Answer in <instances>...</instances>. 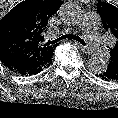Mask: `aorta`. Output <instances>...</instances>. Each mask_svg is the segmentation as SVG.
<instances>
[{
    "instance_id": "aorta-1",
    "label": "aorta",
    "mask_w": 118,
    "mask_h": 118,
    "mask_svg": "<svg viewBox=\"0 0 118 118\" xmlns=\"http://www.w3.org/2000/svg\"><path fill=\"white\" fill-rule=\"evenodd\" d=\"M61 20L68 25H77L82 19V11L75 3H67L60 10ZM107 63L101 57H93L88 62L90 72L102 74L107 70Z\"/></svg>"
}]
</instances>
